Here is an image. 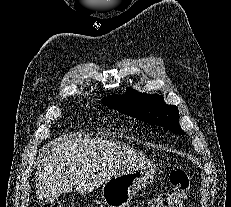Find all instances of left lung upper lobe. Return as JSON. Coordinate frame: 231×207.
<instances>
[{"label": "left lung upper lobe", "mask_w": 231, "mask_h": 207, "mask_svg": "<svg viewBox=\"0 0 231 207\" xmlns=\"http://www.w3.org/2000/svg\"><path fill=\"white\" fill-rule=\"evenodd\" d=\"M102 102L112 109L149 124L163 126L177 134L185 133L179 125L178 108L166 105L162 95H149L128 88L124 95L104 97Z\"/></svg>", "instance_id": "obj_1"}]
</instances>
